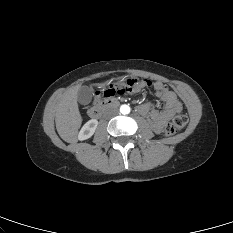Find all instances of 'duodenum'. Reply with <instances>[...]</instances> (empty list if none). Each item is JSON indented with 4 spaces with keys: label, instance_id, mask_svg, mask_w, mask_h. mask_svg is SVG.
<instances>
[{
    "label": "duodenum",
    "instance_id": "obj_1",
    "mask_svg": "<svg viewBox=\"0 0 233 233\" xmlns=\"http://www.w3.org/2000/svg\"><path fill=\"white\" fill-rule=\"evenodd\" d=\"M118 105L115 99H108L98 105H94L89 109V116L92 119H99L106 111Z\"/></svg>",
    "mask_w": 233,
    "mask_h": 233
}]
</instances>
